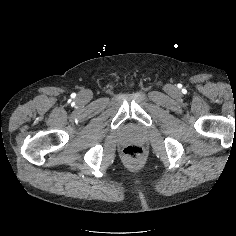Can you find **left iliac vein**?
Masks as SVG:
<instances>
[{
    "label": "left iliac vein",
    "mask_w": 236,
    "mask_h": 236,
    "mask_svg": "<svg viewBox=\"0 0 236 236\" xmlns=\"http://www.w3.org/2000/svg\"><path fill=\"white\" fill-rule=\"evenodd\" d=\"M170 92H171L172 94H175V93H176L175 88H170Z\"/></svg>",
    "instance_id": "left-iliac-vein-1"
}]
</instances>
